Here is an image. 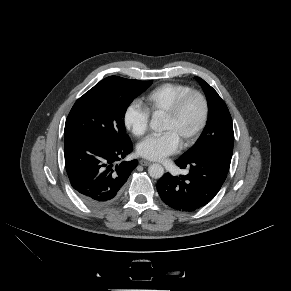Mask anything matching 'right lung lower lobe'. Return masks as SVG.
I'll return each mask as SVG.
<instances>
[{
	"label": "right lung lower lobe",
	"mask_w": 291,
	"mask_h": 291,
	"mask_svg": "<svg viewBox=\"0 0 291 291\" xmlns=\"http://www.w3.org/2000/svg\"><path fill=\"white\" fill-rule=\"evenodd\" d=\"M65 165L76 194L90 206L109 204L122 191L137 160L123 161L131 140L74 137L65 141Z\"/></svg>",
	"instance_id": "obj_1"
}]
</instances>
